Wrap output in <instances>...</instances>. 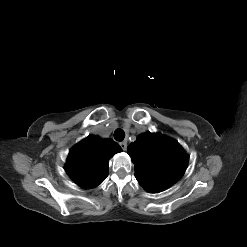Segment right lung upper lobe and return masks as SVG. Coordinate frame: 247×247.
<instances>
[{
    "mask_svg": "<svg viewBox=\"0 0 247 247\" xmlns=\"http://www.w3.org/2000/svg\"><path fill=\"white\" fill-rule=\"evenodd\" d=\"M121 151L111 139L88 136L70 150L65 170L80 187H96L108 176L109 159Z\"/></svg>",
    "mask_w": 247,
    "mask_h": 247,
    "instance_id": "1",
    "label": "right lung upper lobe"
}]
</instances>
